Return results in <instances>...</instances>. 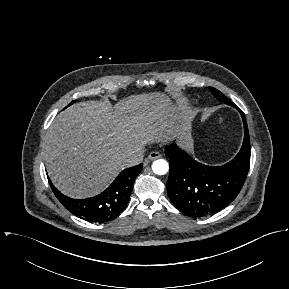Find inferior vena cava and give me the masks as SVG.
Segmentation results:
<instances>
[{"instance_id":"obj_1","label":"inferior vena cava","mask_w":289,"mask_h":289,"mask_svg":"<svg viewBox=\"0 0 289 289\" xmlns=\"http://www.w3.org/2000/svg\"><path fill=\"white\" fill-rule=\"evenodd\" d=\"M143 160V151L131 153L125 157L127 167L137 165Z\"/></svg>"}]
</instances>
